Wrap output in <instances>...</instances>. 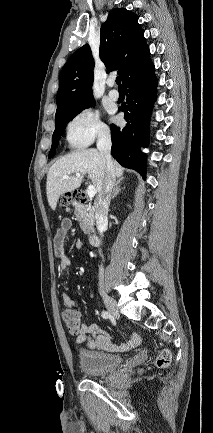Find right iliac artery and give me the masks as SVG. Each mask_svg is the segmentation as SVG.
<instances>
[{"mask_svg":"<svg viewBox=\"0 0 213 433\" xmlns=\"http://www.w3.org/2000/svg\"><path fill=\"white\" fill-rule=\"evenodd\" d=\"M101 316H102L104 319H108V318L110 317V313L107 312V311H103V312L101 313Z\"/></svg>","mask_w":213,"mask_h":433,"instance_id":"1","label":"right iliac artery"}]
</instances>
